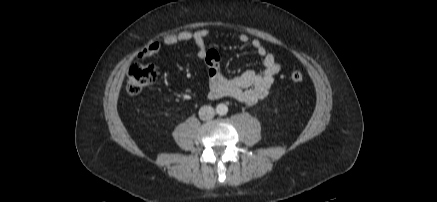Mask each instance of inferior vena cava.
<instances>
[{
	"label": "inferior vena cava",
	"instance_id": "602c4592",
	"mask_svg": "<svg viewBox=\"0 0 437 202\" xmlns=\"http://www.w3.org/2000/svg\"><path fill=\"white\" fill-rule=\"evenodd\" d=\"M215 115V110L211 106H203L199 110V117L201 120H211Z\"/></svg>",
	"mask_w": 437,
	"mask_h": 202
}]
</instances>
